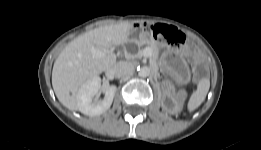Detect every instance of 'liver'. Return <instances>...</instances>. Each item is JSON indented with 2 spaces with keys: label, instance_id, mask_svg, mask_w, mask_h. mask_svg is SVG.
I'll return each instance as SVG.
<instances>
[{
  "label": "liver",
  "instance_id": "6515ba94",
  "mask_svg": "<svg viewBox=\"0 0 261 150\" xmlns=\"http://www.w3.org/2000/svg\"><path fill=\"white\" fill-rule=\"evenodd\" d=\"M132 28L126 22L99 27L78 36L62 50L53 65L52 86L63 106L79 110V89L115 65L116 55L109 48L127 42ZM92 47L105 51V55L93 58Z\"/></svg>",
  "mask_w": 261,
  "mask_h": 150
}]
</instances>
